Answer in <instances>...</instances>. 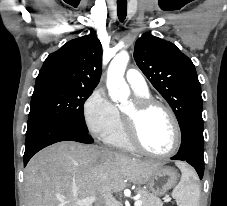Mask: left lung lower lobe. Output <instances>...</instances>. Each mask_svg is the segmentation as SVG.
<instances>
[{
	"mask_svg": "<svg viewBox=\"0 0 227 206\" xmlns=\"http://www.w3.org/2000/svg\"><path fill=\"white\" fill-rule=\"evenodd\" d=\"M203 146V132L192 130L182 137L179 151L171 159L187 161L202 179L204 172Z\"/></svg>",
	"mask_w": 227,
	"mask_h": 206,
	"instance_id": "obj_1",
	"label": "left lung lower lobe"
}]
</instances>
